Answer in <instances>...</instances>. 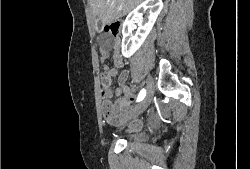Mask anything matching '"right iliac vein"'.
Segmentation results:
<instances>
[{
    "label": "right iliac vein",
    "instance_id": "obj_1",
    "mask_svg": "<svg viewBox=\"0 0 250 169\" xmlns=\"http://www.w3.org/2000/svg\"><path fill=\"white\" fill-rule=\"evenodd\" d=\"M146 82V97L139 105H137L134 109H132L129 113L125 115L123 122L132 116L140 115L151 103L154 94V82L150 77L147 78Z\"/></svg>",
    "mask_w": 250,
    "mask_h": 169
}]
</instances>
